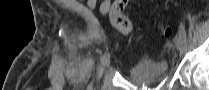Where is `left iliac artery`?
<instances>
[{
	"label": "left iliac artery",
	"mask_w": 209,
	"mask_h": 90,
	"mask_svg": "<svg viewBox=\"0 0 209 90\" xmlns=\"http://www.w3.org/2000/svg\"><path fill=\"white\" fill-rule=\"evenodd\" d=\"M185 32H186V29L185 28H182V27H179V29H178V35L184 40V41H186V34H185Z\"/></svg>",
	"instance_id": "obj_1"
}]
</instances>
